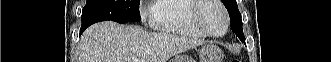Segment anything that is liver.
Returning a JSON list of instances; mask_svg holds the SVG:
<instances>
[{
	"mask_svg": "<svg viewBox=\"0 0 331 62\" xmlns=\"http://www.w3.org/2000/svg\"><path fill=\"white\" fill-rule=\"evenodd\" d=\"M199 40L105 21L89 27L79 44L81 62H167Z\"/></svg>",
	"mask_w": 331,
	"mask_h": 62,
	"instance_id": "1",
	"label": "liver"
}]
</instances>
